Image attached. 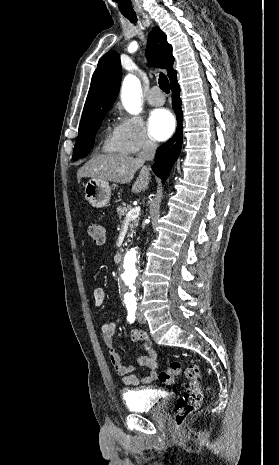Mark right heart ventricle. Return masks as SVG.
I'll use <instances>...</instances> for the list:
<instances>
[{
    "label": "right heart ventricle",
    "mask_w": 279,
    "mask_h": 465,
    "mask_svg": "<svg viewBox=\"0 0 279 465\" xmlns=\"http://www.w3.org/2000/svg\"><path fill=\"white\" fill-rule=\"evenodd\" d=\"M102 150L108 153H127L114 137V132L105 139Z\"/></svg>",
    "instance_id": "1"
}]
</instances>
